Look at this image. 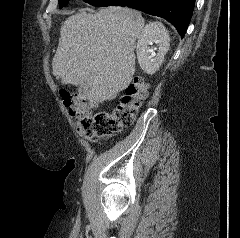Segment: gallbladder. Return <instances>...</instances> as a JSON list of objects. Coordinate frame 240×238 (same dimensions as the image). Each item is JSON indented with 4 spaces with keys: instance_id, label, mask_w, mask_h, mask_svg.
<instances>
[{
    "instance_id": "gallbladder-1",
    "label": "gallbladder",
    "mask_w": 240,
    "mask_h": 238,
    "mask_svg": "<svg viewBox=\"0 0 240 238\" xmlns=\"http://www.w3.org/2000/svg\"><path fill=\"white\" fill-rule=\"evenodd\" d=\"M82 92H83V85H80V87H79V95H81Z\"/></svg>"
}]
</instances>
